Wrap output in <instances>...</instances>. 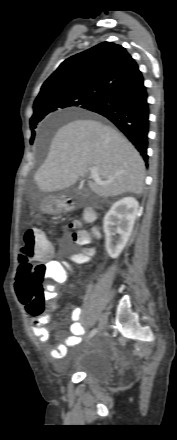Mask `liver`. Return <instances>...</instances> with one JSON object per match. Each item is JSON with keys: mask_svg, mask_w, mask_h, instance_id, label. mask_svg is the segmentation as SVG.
Wrapping results in <instances>:
<instances>
[{"mask_svg": "<svg viewBox=\"0 0 177 440\" xmlns=\"http://www.w3.org/2000/svg\"><path fill=\"white\" fill-rule=\"evenodd\" d=\"M96 168L103 184L89 181L100 197L143 191L145 165L134 146L118 131L92 119L62 126L34 179L42 192H55L76 183Z\"/></svg>", "mask_w": 177, "mask_h": 440, "instance_id": "obj_1", "label": "liver"}]
</instances>
